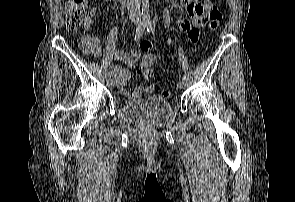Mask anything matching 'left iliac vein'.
<instances>
[{
	"mask_svg": "<svg viewBox=\"0 0 295 202\" xmlns=\"http://www.w3.org/2000/svg\"><path fill=\"white\" fill-rule=\"evenodd\" d=\"M178 86L179 88L181 89H184L186 87V80H181L179 83H178Z\"/></svg>",
	"mask_w": 295,
	"mask_h": 202,
	"instance_id": "1",
	"label": "left iliac vein"
}]
</instances>
